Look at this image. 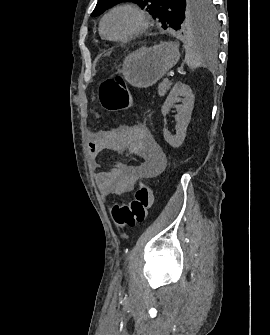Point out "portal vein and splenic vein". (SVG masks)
<instances>
[{
	"instance_id": "portal-vein-and-splenic-vein-1",
	"label": "portal vein and splenic vein",
	"mask_w": 270,
	"mask_h": 335,
	"mask_svg": "<svg viewBox=\"0 0 270 335\" xmlns=\"http://www.w3.org/2000/svg\"><path fill=\"white\" fill-rule=\"evenodd\" d=\"M171 75H173V72L170 71V72L168 73V77H171ZM168 77H167V78H168Z\"/></svg>"
}]
</instances>
